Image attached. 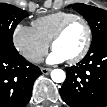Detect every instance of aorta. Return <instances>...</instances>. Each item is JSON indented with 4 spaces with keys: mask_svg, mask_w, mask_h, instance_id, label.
<instances>
[{
    "mask_svg": "<svg viewBox=\"0 0 107 107\" xmlns=\"http://www.w3.org/2000/svg\"><path fill=\"white\" fill-rule=\"evenodd\" d=\"M66 74L62 69H54L51 71V79L56 83H62L65 81Z\"/></svg>",
    "mask_w": 107,
    "mask_h": 107,
    "instance_id": "aorta-1",
    "label": "aorta"
}]
</instances>
